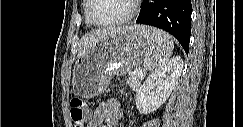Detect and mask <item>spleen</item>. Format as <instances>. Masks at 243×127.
I'll use <instances>...</instances> for the list:
<instances>
[{
	"label": "spleen",
	"instance_id": "1",
	"mask_svg": "<svg viewBox=\"0 0 243 127\" xmlns=\"http://www.w3.org/2000/svg\"><path fill=\"white\" fill-rule=\"evenodd\" d=\"M142 33L150 44L149 52L145 56L144 67L154 72L168 62L172 55L174 42L169 34L155 28L144 26Z\"/></svg>",
	"mask_w": 243,
	"mask_h": 127
}]
</instances>
